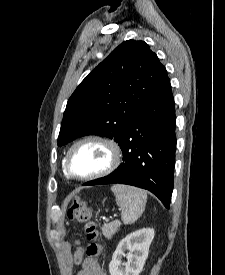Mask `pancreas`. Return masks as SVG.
<instances>
[{
    "label": "pancreas",
    "mask_w": 225,
    "mask_h": 275,
    "mask_svg": "<svg viewBox=\"0 0 225 275\" xmlns=\"http://www.w3.org/2000/svg\"><path fill=\"white\" fill-rule=\"evenodd\" d=\"M121 223L118 220H115L113 222H110L108 224H104L101 228L103 235L110 239L118 230Z\"/></svg>",
    "instance_id": "pancreas-1"
}]
</instances>
